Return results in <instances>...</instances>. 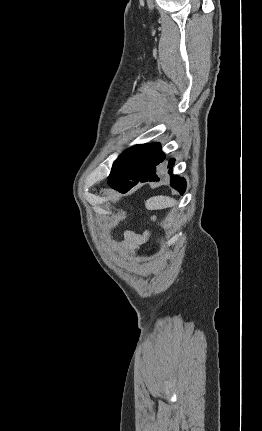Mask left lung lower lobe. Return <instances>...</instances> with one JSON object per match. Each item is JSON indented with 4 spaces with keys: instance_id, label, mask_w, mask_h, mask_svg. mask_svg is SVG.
Masks as SVG:
<instances>
[{
    "instance_id": "obj_1",
    "label": "left lung lower lobe",
    "mask_w": 262,
    "mask_h": 431,
    "mask_svg": "<svg viewBox=\"0 0 262 431\" xmlns=\"http://www.w3.org/2000/svg\"><path fill=\"white\" fill-rule=\"evenodd\" d=\"M165 159L161 152V147L156 144H144L137 150V153L131 164V177L129 181L121 187L115 188L121 193H126L139 181H159L158 165ZM174 159L169 160L168 173L170 174V185L181 194L185 192L186 181L177 175L172 174Z\"/></svg>"
}]
</instances>
